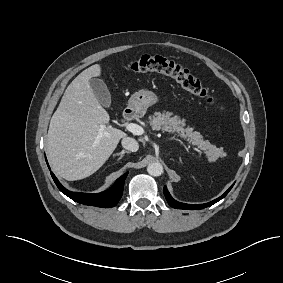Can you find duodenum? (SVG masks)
<instances>
[{
  "instance_id": "410a0bca",
  "label": "duodenum",
  "mask_w": 283,
  "mask_h": 283,
  "mask_svg": "<svg viewBox=\"0 0 283 283\" xmlns=\"http://www.w3.org/2000/svg\"><path fill=\"white\" fill-rule=\"evenodd\" d=\"M136 116H137V109L135 107H128L123 114L124 119L127 121L134 120Z\"/></svg>"
}]
</instances>
